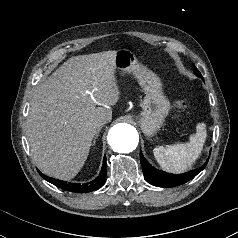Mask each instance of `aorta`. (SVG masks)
I'll use <instances>...</instances> for the list:
<instances>
[{
	"label": "aorta",
	"instance_id": "762f6f07",
	"mask_svg": "<svg viewBox=\"0 0 238 238\" xmlns=\"http://www.w3.org/2000/svg\"><path fill=\"white\" fill-rule=\"evenodd\" d=\"M139 136L136 129L126 123L113 126L108 134V143L111 148L119 153L132 152L138 145Z\"/></svg>",
	"mask_w": 238,
	"mask_h": 238
}]
</instances>
